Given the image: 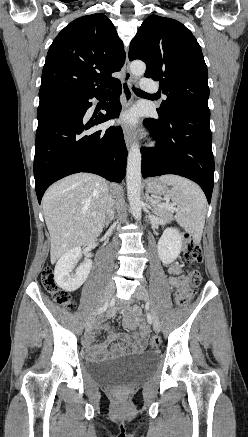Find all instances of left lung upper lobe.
Returning a JSON list of instances; mask_svg holds the SVG:
<instances>
[{
    "instance_id": "5c2ea615",
    "label": "left lung upper lobe",
    "mask_w": 248,
    "mask_h": 437,
    "mask_svg": "<svg viewBox=\"0 0 248 437\" xmlns=\"http://www.w3.org/2000/svg\"><path fill=\"white\" fill-rule=\"evenodd\" d=\"M146 63L145 77L159 81L167 96L157 112L166 117L179 108H208V73L196 38L177 20L151 15L129 49V60Z\"/></svg>"
}]
</instances>
